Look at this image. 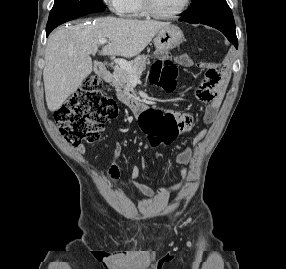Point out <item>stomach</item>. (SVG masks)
Returning <instances> with one entry per match:
<instances>
[{
    "label": "stomach",
    "instance_id": "0dacf381",
    "mask_svg": "<svg viewBox=\"0 0 286 269\" xmlns=\"http://www.w3.org/2000/svg\"><path fill=\"white\" fill-rule=\"evenodd\" d=\"M183 40L184 35L181 29L169 24L155 35L154 46L156 49H168L170 51L179 46Z\"/></svg>",
    "mask_w": 286,
    "mask_h": 269
}]
</instances>
